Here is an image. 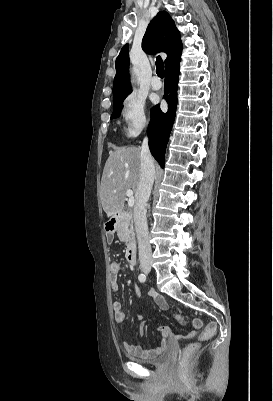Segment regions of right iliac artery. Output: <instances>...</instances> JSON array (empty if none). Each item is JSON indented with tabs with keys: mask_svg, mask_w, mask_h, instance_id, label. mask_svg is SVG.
Instances as JSON below:
<instances>
[{
	"mask_svg": "<svg viewBox=\"0 0 273 401\" xmlns=\"http://www.w3.org/2000/svg\"><path fill=\"white\" fill-rule=\"evenodd\" d=\"M140 282H145L146 281V275L145 274H140L138 277Z\"/></svg>",
	"mask_w": 273,
	"mask_h": 401,
	"instance_id": "1",
	"label": "right iliac artery"
}]
</instances>
